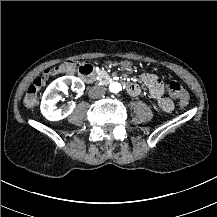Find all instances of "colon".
Wrapping results in <instances>:
<instances>
[{
    "mask_svg": "<svg viewBox=\"0 0 217 217\" xmlns=\"http://www.w3.org/2000/svg\"><path fill=\"white\" fill-rule=\"evenodd\" d=\"M77 71V63L74 60L62 61L52 67H45L40 74L34 77V81L29 85L23 99L25 107L33 109L38 103V93L47 83H50L55 74H74ZM168 90L173 95L180 106H187L189 103V94L186 89L177 81H171L168 84Z\"/></svg>",
    "mask_w": 217,
    "mask_h": 217,
    "instance_id": "1",
    "label": "colon"
}]
</instances>
